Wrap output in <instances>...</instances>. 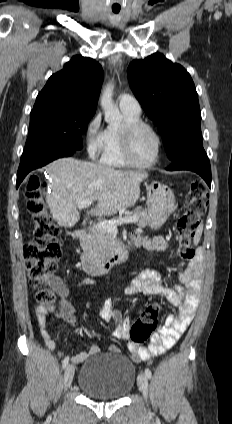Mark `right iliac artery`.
I'll list each match as a JSON object with an SVG mask.
<instances>
[{"label":"right iliac artery","instance_id":"obj_1","mask_svg":"<svg viewBox=\"0 0 232 424\" xmlns=\"http://www.w3.org/2000/svg\"><path fill=\"white\" fill-rule=\"evenodd\" d=\"M68 362H69V357L67 356L62 361V367L65 368L68 365Z\"/></svg>","mask_w":232,"mask_h":424}]
</instances>
